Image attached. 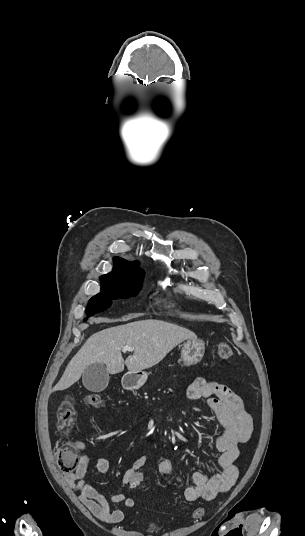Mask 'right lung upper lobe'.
Masks as SVG:
<instances>
[{"label": "right lung upper lobe", "instance_id": "obj_1", "mask_svg": "<svg viewBox=\"0 0 305 536\" xmlns=\"http://www.w3.org/2000/svg\"><path fill=\"white\" fill-rule=\"evenodd\" d=\"M139 262H128L121 258L114 259L113 271L100 277L103 281L141 280L145 272L139 268Z\"/></svg>", "mask_w": 305, "mask_h": 536}]
</instances>
